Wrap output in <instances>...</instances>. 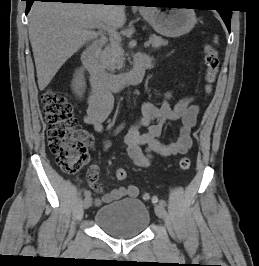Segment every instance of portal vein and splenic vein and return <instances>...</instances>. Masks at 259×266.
Listing matches in <instances>:
<instances>
[{
  "mask_svg": "<svg viewBox=\"0 0 259 266\" xmlns=\"http://www.w3.org/2000/svg\"><path fill=\"white\" fill-rule=\"evenodd\" d=\"M92 27H96V28H99V29H104V30H108V32L113 35L114 37H119L118 33L116 32L115 29H111V28H108L106 25H104L102 22H98V23H95L92 25ZM151 43V40L147 41L144 43V46L145 47H149Z\"/></svg>",
  "mask_w": 259,
  "mask_h": 266,
  "instance_id": "18ae733b",
  "label": "portal vein and splenic vein"
}]
</instances>
